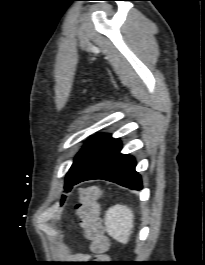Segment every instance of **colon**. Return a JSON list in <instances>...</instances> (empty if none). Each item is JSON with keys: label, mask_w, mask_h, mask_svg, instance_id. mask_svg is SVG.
Masks as SVG:
<instances>
[{"label": "colon", "mask_w": 205, "mask_h": 265, "mask_svg": "<svg viewBox=\"0 0 205 265\" xmlns=\"http://www.w3.org/2000/svg\"><path fill=\"white\" fill-rule=\"evenodd\" d=\"M99 190L96 187H87L80 193V201L77 205V214L81 220V227L86 238L91 242V250L96 256V263L106 260L109 241L103 234L99 218Z\"/></svg>", "instance_id": "obj_1"}]
</instances>
